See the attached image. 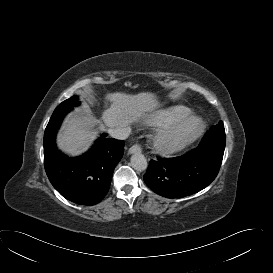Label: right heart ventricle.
I'll return each mask as SVG.
<instances>
[{"mask_svg": "<svg viewBox=\"0 0 273 273\" xmlns=\"http://www.w3.org/2000/svg\"><path fill=\"white\" fill-rule=\"evenodd\" d=\"M189 114L190 111L188 108L176 106L161 113L158 117V121L161 126H171L186 119Z\"/></svg>", "mask_w": 273, "mask_h": 273, "instance_id": "right-heart-ventricle-1", "label": "right heart ventricle"}]
</instances>
